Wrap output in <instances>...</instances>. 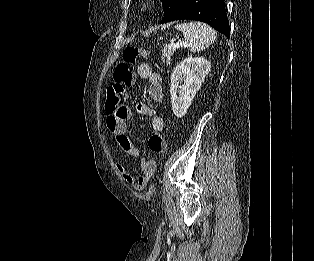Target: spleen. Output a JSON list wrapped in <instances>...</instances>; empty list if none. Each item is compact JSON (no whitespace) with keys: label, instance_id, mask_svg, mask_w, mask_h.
<instances>
[{"label":"spleen","instance_id":"obj_1","mask_svg":"<svg viewBox=\"0 0 314 261\" xmlns=\"http://www.w3.org/2000/svg\"><path fill=\"white\" fill-rule=\"evenodd\" d=\"M175 28L182 32L191 52H199L209 47L216 40V32L202 22L177 24Z\"/></svg>","mask_w":314,"mask_h":261}]
</instances>
